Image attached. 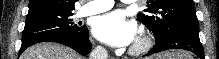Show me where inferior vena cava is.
Here are the masks:
<instances>
[{"label": "inferior vena cava", "instance_id": "obj_1", "mask_svg": "<svg viewBox=\"0 0 219 59\" xmlns=\"http://www.w3.org/2000/svg\"><path fill=\"white\" fill-rule=\"evenodd\" d=\"M90 59H108V52L105 48L97 46L91 53Z\"/></svg>", "mask_w": 219, "mask_h": 59}]
</instances>
